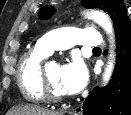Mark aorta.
<instances>
[{
    "instance_id": "762f6f07",
    "label": "aorta",
    "mask_w": 131,
    "mask_h": 115,
    "mask_svg": "<svg viewBox=\"0 0 131 115\" xmlns=\"http://www.w3.org/2000/svg\"><path fill=\"white\" fill-rule=\"evenodd\" d=\"M89 18L93 19L96 23H98L111 37L113 41V26L111 23L110 18L103 12L100 11H91L86 14ZM114 59H115V54L113 51H111L110 54V60L108 64L106 65L104 74H103V82L106 84L113 72L114 69Z\"/></svg>"
}]
</instances>
